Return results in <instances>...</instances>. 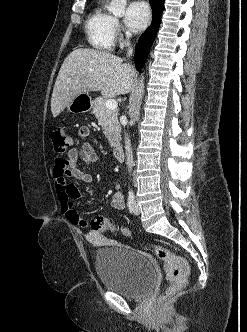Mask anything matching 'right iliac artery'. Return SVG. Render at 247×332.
<instances>
[{"mask_svg": "<svg viewBox=\"0 0 247 332\" xmlns=\"http://www.w3.org/2000/svg\"><path fill=\"white\" fill-rule=\"evenodd\" d=\"M133 205H134V194L133 192H129L127 206L129 207L130 210H132Z\"/></svg>", "mask_w": 247, "mask_h": 332, "instance_id": "82829eb1", "label": "right iliac artery"}]
</instances>
